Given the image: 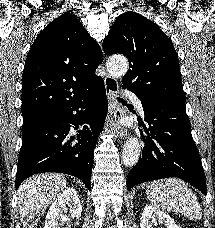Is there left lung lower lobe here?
Segmentation results:
<instances>
[{"label":"left lung lower lobe","instance_id":"0a47b994","mask_svg":"<svg viewBox=\"0 0 215 228\" xmlns=\"http://www.w3.org/2000/svg\"><path fill=\"white\" fill-rule=\"evenodd\" d=\"M140 99V98H139ZM145 132L142 156L127 176V189L143 182L178 177L206 195V181L197 147L192 139L185 102L143 100Z\"/></svg>","mask_w":215,"mask_h":228}]
</instances>
